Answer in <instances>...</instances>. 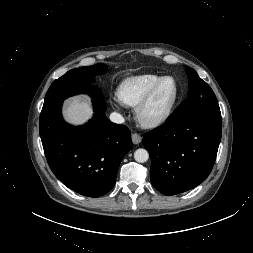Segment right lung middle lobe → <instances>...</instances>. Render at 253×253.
<instances>
[{
    "label": "right lung middle lobe",
    "mask_w": 253,
    "mask_h": 253,
    "mask_svg": "<svg viewBox=\"0 0 253 253\" xmlns=\"http://www.w3.org/2000/svg\"><path fill=\"white\" fill-rule=\"evenodd\" d=\"M106 67L103 64L75 68L68 71L62 77L56 79L50 86L43 104L41 112L60 104L66 98L80 94H89L94 98H103L100 90L92 85L95 76L104 74Z\"/></svg>",
    "instance_id": "dd1d6c3e"
}]
</instances>
